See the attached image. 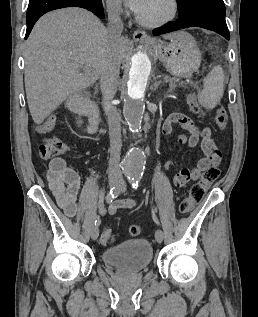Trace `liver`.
Returning <instances> with one entry per match:
<instances>
[{
	"instance_id": "obj_1",
	"label": "liver",
	"mask_w": 258,
	"mask_h": 317,
	"mask_svg": "<svg viewBox=\"0 0 258 317\" xmlns=\"http://www.w3.org/2000/svg\"><path fill=\"white\" fill-rule=\"evenodd\" d=\"M129 48L128 38L121 36L115 52L119 62H125ZM107 52V28L93 12L71 6L43 14L24 46L25 88L34 122L41 124L68 96L93 84Z\"/></svg>"
}]
</instances>
